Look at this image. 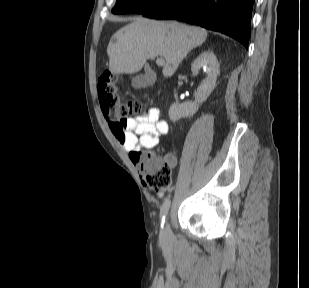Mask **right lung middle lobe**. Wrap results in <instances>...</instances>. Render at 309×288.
Wrapping results in <instances>:
<instances>
[{"mask_svg":"<svg viewBox=\"0 0 309 288\" xmlns=\"http://www.w3.org/2000/svg\"><path fill=\"white\" fill-rule=\"evenodd\" d=\"M164 0H117L112 12L114 14L138 13L143 12L157 6Z\"/></svg>","mask_w":309,"mask_h":288,"instance_id":"dd1d6c3e","label":"right lung middle lobe"}]
</instances>
